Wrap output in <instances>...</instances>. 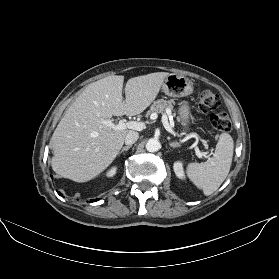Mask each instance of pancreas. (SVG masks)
<instances>
[{
    "label": "pancreas",
    "mask_w": 279,
    "mask_h": 279,
    "mask_svg": "<svg viewBox=\"0 0 279 279\" xmlns=\"http://www.w3.org/2000/svg\"><path fill=\"white\" fill-rule=\"evenodd\" d=\"M173 104L174 101L173 100H164V99H160L157 100L155 102H153V104L151 105L150 109L147 112V115H152L153 113H166V110H173Z\"/></svg>",
    "instance_id": "pancreas-1"
}]
</instances>
